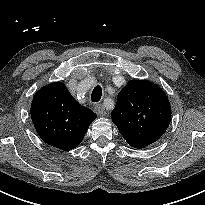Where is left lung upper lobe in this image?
<instances>
[{
    "instance_id": "1",
    "label": "left lung upper lobe",
    "mask_w": 205,
    "mask_h": 205,
    "mask_svg": "<svg viewBox=\"0 0 205 205\" xmlns=\"http://www.w3.org/2000/svg\"><path fill=\"white\" fill-rule=\"evenodd\" d=\"M111 118L126 140L148 146L168 128L171 107L157 85L146 80H130L118 94Z\"/></svg>"
}]
</instances>
